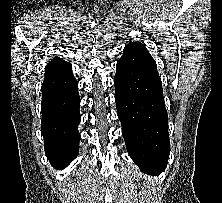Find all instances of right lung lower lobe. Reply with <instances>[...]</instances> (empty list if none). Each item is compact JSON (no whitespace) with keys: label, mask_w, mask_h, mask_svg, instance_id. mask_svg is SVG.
Listing matches in <instances>:
<instances>
[{"label":"right lung lower lobe","mask_w":222,"mask_h":203,"mask_svg":"<svg viewBox=\"0 0 222 203\" xmlns=\"http://www.w3.org/2000/svg\"><path fill=\"white\" fill-rule=\"evenodd\" d=\"M41 91L45 153L55 168L62 169L78 155L80 140V97L71 64L61 58L50 61Z\"/></svg>","instance_id":"right-lung-lower-lobe-1"}]
</instances>
